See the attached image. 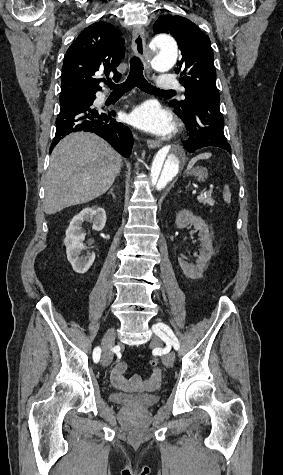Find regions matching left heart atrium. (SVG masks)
I'll return each instance as SVG.
<instances>
[{
  "mask_svg": "<svg viewBox=\"0 0 283 475\" xmlns=\"http://www.w3.org/2000/svg\"><path fill=\"white\" fill-rule=\"evenodd\" d=\"M130 122L141 131L158 136L169 135L174 129L171 114L155 101H146L135 107Z\"/></svg>",
  "mask_w": 283,
  "mask_h": 475,
  "instance_id": "39dd6f15",
  "label": "left heart atrium"
}]
</instances>
